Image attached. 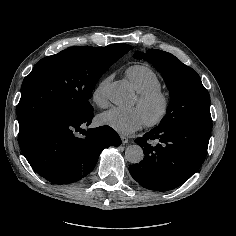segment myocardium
<instances>
[{"mask_svg": "<svg viewBox=\"0 0 236 236\" xmlns=\"http://www.w3.org/2000/svg\"><path fill=\"white\" fill-rule=\"evenodd\" d=\"M137 104L144 109H149L151 107L158 108L156 115L150 117L146 121V125L149 128H154L162 124L171 111V99L169 95L162 90L147 94H139L137 97Z\"/></svg>", "mask_w": 236, "mask_h": 236, "instance_id": "myocardium-1", "label": "myocardium"}]
</instances>
